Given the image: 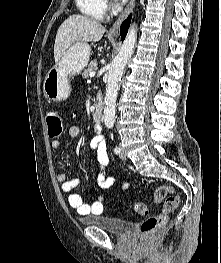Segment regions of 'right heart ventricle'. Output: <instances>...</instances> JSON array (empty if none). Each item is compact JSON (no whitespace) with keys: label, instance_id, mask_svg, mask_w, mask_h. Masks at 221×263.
<instances>
[{"label":"right heart ventricle","instance_id":"obj_1","mask_svg":"<svg viewBox=\"0 0 221 263\" xmlns=\"http://www.w3.org/2000/svg\"><path fill=\"white\" fill-rule=\"evenodd\" d=\"M79 11L93 20H103L106 15L104 0H76Z\"/></svg>","mask_w":221,"mask_h":263}]
</instances>
